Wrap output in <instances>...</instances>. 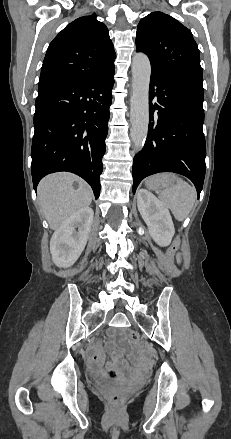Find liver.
I'll return each instance as SVG.
<instances>
[{
  "label": "liver",
  "mask_w": 231,
  "mask_h": 439,
  "mask_svg": "<svg viewBox=\"0 0 231 439\" xmlns=\"http://www.w3.org/2000/svg\"><path fill=\"white\" fill-rule=\"evenodd\" d=\"M77 182L75 189L73 183ZM41 212L50 228L61 224L79 210L88 207L93 198L91 187L71 173H55L44 177L37 189Z\"/></svg>",
  "instance_id": "liver-1"
}]
</instances>
